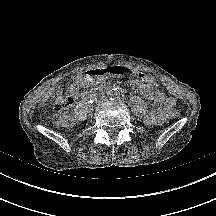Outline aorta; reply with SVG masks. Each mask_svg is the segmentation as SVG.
I'll return each mask as SVG.
<instances>
[{
    "mask_svg": "<svg viewBox=\"0 0 216 216\" xmlns=\"http://www.w3.org/2000/svg\"><path fill=\"white\" fill-rule=\"evenodd\" d=\"M118 94H119V92L117 90H114V91L111 92L112 96H117Z\"/></svg>",
    "mask_w": 216,
    "mask_h": 216,
    "instance_id": "1",
    "label": "aorta"
}]
</instances>
